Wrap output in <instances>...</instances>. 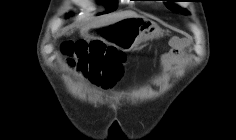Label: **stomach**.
Wrapping results in <instances>:
<instances>
[{"instance_id": "0dacf381", "label": "stomach", "mask_w": 236, "mask_h": 140, "mask_svg": "<svg viewBox=\"0 0 236 140\" xmlns=\"http://www.w3.org/2000/svg\"><path fill=\"white\" fill-rule=\"evenodd\" d=\"M91 30H112L89 31V40L114 44L125 51L162 34L155 22L141 16L126 17L118 22H101V25H91Z\"/></svg>"}]
</instances>
